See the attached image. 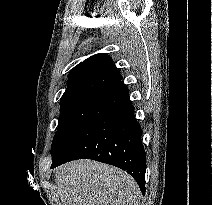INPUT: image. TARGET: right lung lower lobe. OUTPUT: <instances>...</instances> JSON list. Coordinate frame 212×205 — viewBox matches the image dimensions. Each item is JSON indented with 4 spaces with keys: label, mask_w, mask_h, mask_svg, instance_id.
I'll return each mask as SVG.
<instances>
[{
    "label": "right lung lower lobe",
    "mask_w": 212,
    "mask_h": 205,
    "mask_svg": "<svg viewBox=\"0 0 212 205\" xmlns=\"http://www.w3.org/2000/svg\"><path fill=\"white\" fill-rule=\"evenodd\" d=\"M142 130L134 118L128 89L120 80L106 90L94 112L51 168L75 159H93L114 165L129 173L145 193L146 154Z\"/></svg>",
    "instance_id": "right-lung-lower-lobe-1"
}]
</instances>
